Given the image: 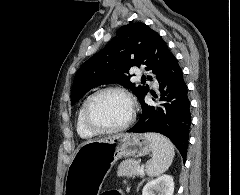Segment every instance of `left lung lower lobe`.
Segmentation results:
<instances>
[{"label": "left lung lower lobe", "instance_id": "obj_1", "mask_svg": "<svg viewBox=\"0 0 240 195\" xmlns=\"http://www.w3.org/2000/svg\"><path fill=\"white\" fill-rule=\"evenodd\" d=\"M156 79L160 96L151 91L156 103L144 101L139 121L127 132L161 133L173 142L185 161L191 126L190 100L182 69L173 54Z\"/></svg>", "mask_w": 240, "mask_h": 195}]
</instances>
